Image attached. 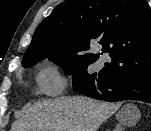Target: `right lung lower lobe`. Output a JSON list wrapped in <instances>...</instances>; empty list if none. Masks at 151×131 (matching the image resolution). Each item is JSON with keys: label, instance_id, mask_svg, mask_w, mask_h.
<instances>
[{"label": "right lung lower lobe", "instance_id": "obj_1", "mask_svg": "<svg viewBox=\"0 0 151 131\" xmlns=\"http://www.w3.org/2000/svg\"><path fill=\"white\" fill-rule=\"evenodd\" d=\"M75 91L98 100H141L151 103V74L141 76L89 77L72 81Z\"/></svg>", "mask_w": 151, "mask_h": 131}]
</instances>
